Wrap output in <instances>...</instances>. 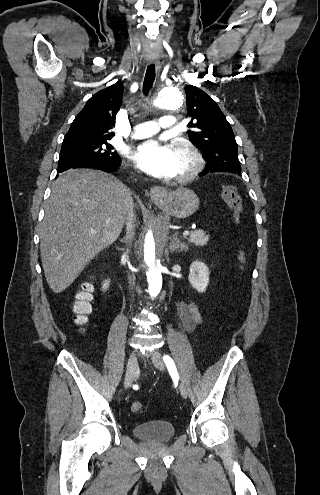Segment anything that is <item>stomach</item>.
I'll return each instance as SVG.
<instances>
[{"label":"stomach","instance_id":"0dacf381","mask_svg":"<svg viewBox=\"0 0 320 495\" xmlns=\"http://www.w3.org/2000/svg\"><path fill=\"white\" fill-rule=\"evenodd\" d=\"M156 205L172 214L176 218H187L195 213L199 207L198 196L188 188H179L164 195Z\"/></svg>","mask_w":320,"mask_h":495}]
</instances>
